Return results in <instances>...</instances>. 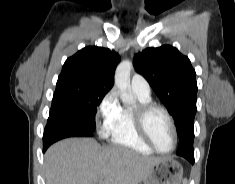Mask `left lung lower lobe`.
Listing matches in <instances>:
<instances>
[{
	"instance_id": "left-lung-lower-lobe-1",
	"label": "left lung lower lobe",
	"mask_w": 235,
	"mask_h": 184,
	"mask_svg": "<svg viewBox=\"0 0 235 184\" xmlns=\"http://www.w3.org/2000/svg\"><path fill=\"white\" fill-rule=\"evenodd\" d=\"M184 158H186L192 165L194 164V156H186V157H184Z\"/></svg>"
}]
</instances>
